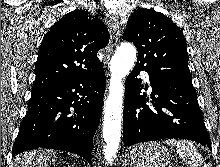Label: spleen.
<instances>
[{"label":"spleen","mask_w":220,"mask_h":167,"mask_svg":"<svg viewBox=\"0 0 220 167\" xmlns=\"http://www.w3.org/2000/svg\"><path fill=\"white\" fill-rule=\"evenodd\" d=\"M164 143L175 146L179 157L186 161L189 167H199L203 164L201 153L191 141L168 139Z\"/></svg>","instance_id":"obj_1"}]
</instances>
